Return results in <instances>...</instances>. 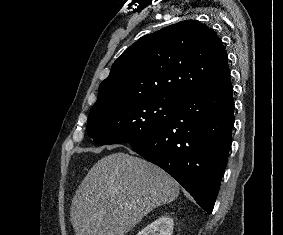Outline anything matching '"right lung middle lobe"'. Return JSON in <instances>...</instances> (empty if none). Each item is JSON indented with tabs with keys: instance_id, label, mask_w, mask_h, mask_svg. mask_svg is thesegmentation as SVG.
Instances as JSON below:
<instances>
[{
	"instance_id": "right-lung-middle-lobe-1",
	"label": "right lung middle lobe",
	"mask_w": 283,
	"mask_h": 235,
	"mask_svg": "<svg viewBox=\"0 0 283 235\" xmlns=\"http://www.w3.org/2000/svg\"><path fill=\"white\" fill-rule=\"evenodd\" d=\"M176 103L170 97H132L94 106L88 117V136L97 145L142 139L169 121Z\"/></svg>"
}]
</instances>
